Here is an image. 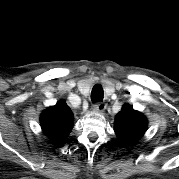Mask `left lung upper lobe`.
Wrapping results in <instances>:
<instances>
[{"instance_id":"obj_1","label":"left lung upper lobe","mask_w":179,"mask_h":179,"mask_svg":"<svg viewBox=\"0 0 179 179\" xmlns=\"http://www.w3.org/2000/svg\"><path fill=\"white\" fill-rule=\"evenodd\" d=\"M114 130L123 142L132 143L146 132L147 119L129 104H124L121 111L116 115Z\"/></svg>"}]
</instances>
